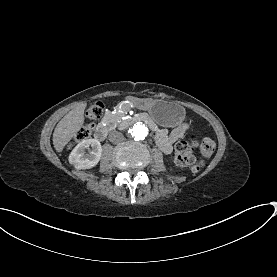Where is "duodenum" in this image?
I'll list each match as a JSON object with an SVG mask.
<instances>
[{
    "mask_svg": "<svg viewBox=\"0 0 277 277\" xmlns=\"http://www.w3.org/2000/svg\"><path fill=\"white\" fill-rule=\"evenodd\" d=\"M138 122L145 123L155 132L158 131V127H157L156 123L154 122V120L146 114H139V115L131 116V117L124 119L122 121V123L120 124V128L126 129V128L130 127L131 125L138 123ZM107 134H108L107 126L99 125L96 128V131H95L96 139L103 140L107 136Z\"/></svg>",
    "mask_w": 277,
    "mask_h": 277,
    "instance_id": "1",
    "label": "duodenum"
}]
</instances>
